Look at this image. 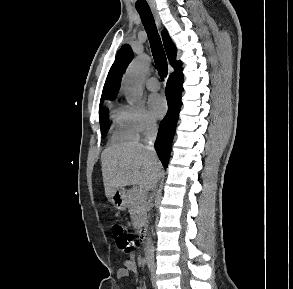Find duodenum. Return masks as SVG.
<instances>
[{"label":"duodenum","instance_id":"obj_1","mask_svg":"<svg viewBox=\"0 0 293 289\" xmlns=\"http://www.w3.org/2000/svg\"><path fill=\"white\" fill-rule=\"evenodd\" d=\"M139 238L140 241L145 244L148 240V230L146 227H142V229L139 231Z\"/></svg>","mask_w":293,"mask_h":289}]
</instances>
